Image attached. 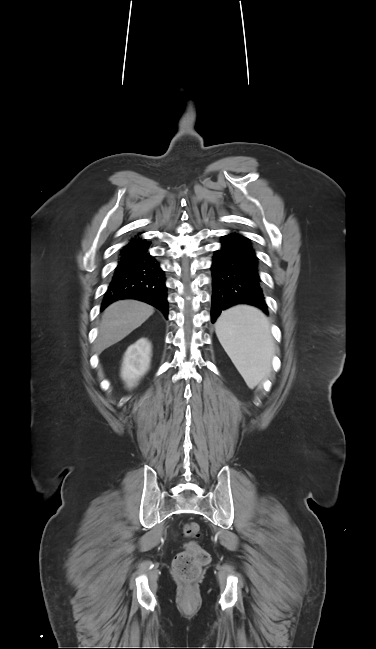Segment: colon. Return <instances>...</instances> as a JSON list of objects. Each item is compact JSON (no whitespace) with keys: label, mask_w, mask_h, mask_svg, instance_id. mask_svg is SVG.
I'll list each match as a JSON object with an SVG mask.
<instances>
[{"label":"colon","mask_w":376,"mask_h":649,"mask_svg":"<svg viewBox=\"0 0 376 649\" xmlns=\"http://www.w3.org/2000/svg\"><path fill=\"white\" fill-rule=\"evenodd\" d=\"M199 534L200 526L196 522L186 523L182 528V535L191 540L185 543L184 550L175 556L172 565L174 575L181 580L196 579L210 561L209 554L193 540Z\"/></svg>","instance_id":"colon-1"}]
</instances>
